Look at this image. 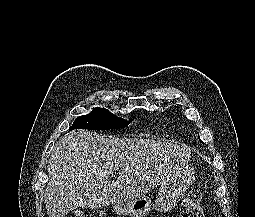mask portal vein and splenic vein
I'll return each mask as SVG.
<instances>
[{"label": "portal vein and splenic vein", "instance_id": "obj_1", "mask_svg": "<svg viewBox=\"0 0 255 217\" xmlns=\"http://www.w3.org/2000/svg\"><path fill=\"white\" fill-rule=\"evenodd\" d=\"M119 168H116V170H118ZM100 174H106V172L105 173H100Z\"/></svg>", "mask_w": 255, "mask_h": 217}]
</instances>
